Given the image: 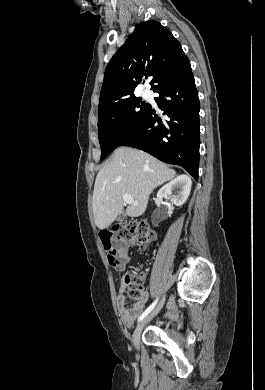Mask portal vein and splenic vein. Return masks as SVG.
Listing matches in <instances>:
<instances>
[{
  "label": "portal vein and splenic vein",
  "instance_id": "1",
  "mask_svg": "<svg viewBox=\"0 0 265 390\" xmlns=\"http://www.w3.org/2000/svg\"><path fill=\"white\" fill-rule=\"evenodd\" d=\"M123 201L128 205H137L138 203L134 201V198L131 195L124 194Z\"/></svg>",
  "mask_w": 265,
  "mask_h": 390
}]
</instances>
